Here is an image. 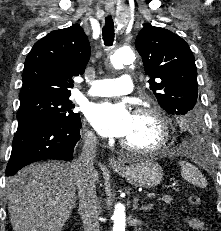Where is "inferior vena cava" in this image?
Instances as JSON below:
<instances>
[{"label":"inferior vena cava","mask_w":221,"mask_h":231,"mask_svg":"<svg viewBox=\"0 0 221 231\" xmlns=\"http://www.w3.org/2000/svg\"><path fill=\"white\" fill-rule=\"evenodd\" d=\"M97 137L87 132L80 157L74 162L76 186L79 198V211L83 220L84 231H100V204L96 194L95 182L98 176L94 168Z\"/></svg>","instance_id":"602c4592"}]
</instances>
